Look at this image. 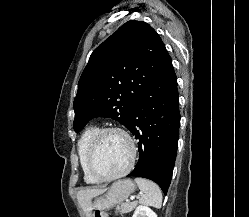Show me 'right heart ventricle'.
<instances>
[{"instance_id": "1", "label": "right heart ventricle", "mask_w": 249, "mask_h": 217, "mask_svg": "<svg viewBox=\"0 0 249 217\" xmlns=\"http://www.w3.org/2000/svg\"><path fill=\"white\" fill-rule=\"evenodd\" d=\"M98 131H99V128L97 126L91 125L83 131L78 141L77 150H78L80 167H81L85 182L89 184H95V183L100 182L96 180L93 176H91V174L89 173L87 169V164H86V158H87V153H88L90 143Z\"/></svg>"}]
</instances>
